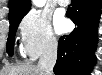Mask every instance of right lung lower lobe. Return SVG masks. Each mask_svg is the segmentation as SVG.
I'll use <instances>...</instances> for the list:
<instances>
[{"instance_id":"98d812e1","label":"right lung lower lobe","mask_w":102,"mask_h":75,"mask_svg":"<svg viewBox=\"0 0 102 75\" xmlns=\"http://www.w3.org/2000/svg\"><path fill=\"white\" fill-rule=\"evenodd\" d=\"M100 7V0H71L66 15L76 28L59 39L55 75H89L95 62Z\"/></svg>"}]
</instances>
